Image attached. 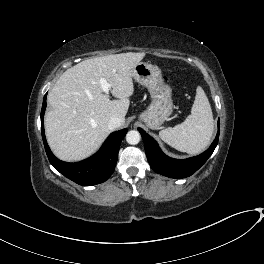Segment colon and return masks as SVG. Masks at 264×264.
I'll return each mask as SVG.
<instances>
[{
	"label": "colon",
	"instance_id": "colon-1",
	"mask_svg": "<svg viewBox=\"0 0 264 264\" xmlns=\"http://www.w3.org/2000/svg\"><path fill=\"white\" fill-rule=\"evenodd\" d=\"M164 78L165 80H171L173 79V75L171 73H168Z\"/></svg>",
	"mask_w": 264,
	"mask_h": 264
}]
</instances>
